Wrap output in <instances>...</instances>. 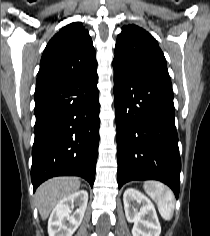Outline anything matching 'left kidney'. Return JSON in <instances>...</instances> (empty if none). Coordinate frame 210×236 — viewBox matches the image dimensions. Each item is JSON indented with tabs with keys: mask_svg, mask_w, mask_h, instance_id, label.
<instances>
[{
	"mask_svg": "<svg viewBox=\"0 0 210 236\" xmlns=\"http://www.w3.org/2000/svg\"><path fill=\"white\" fill-rule=\"evenodd\" d=\"M141 204L140 210L133 206V202ZM125 215L128 222H133V236H159L161 226L152 202L134 188H128L123 194Z\"/></svg>",
	"mask_w": 210,
	"mask_h": 236,
	"instance_id": "left-kidney-1",
	"label": "left kidney"
}]
</instances>
